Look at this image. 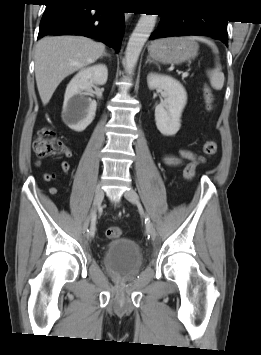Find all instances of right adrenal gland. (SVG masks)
<instances>
[{"mask_svg": "<svg viewBox=\"0 0 261 355\" xmlns=\"http://www.w3.org/2000/svg\"><path fill=\"white\" fill-rule=\"evenodd\" d=\"M103 57H109V58H111L110 54H108L106 51H105V52L103 53V55L101 56V59H102Z\"/></svg>", "mask_w": 261, "mask_h": 355, "instance_id": "1", "label": "right adrenal gland"}]
</instances>
